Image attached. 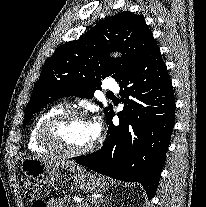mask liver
Segmentation results:
<instances>
[{"label":"liver","instance_id":"1","mask_svg":"<svg viewBox=\"0 0 206 207\" xmlns=\"http://www.w3.org/2000/svg\"><path fill=\"white\" fill-rule=\"evenodd\" d=\"M36 158H38L40 160H47V161L54 162L55 164L59 165L61 168L68 169L72 172H75L76 170H81L82 169L76 163H74L72 161L61 160L57 156L44 155V156H39V157H36Z\"/></svg>","mask_w":206,"mask_h":207}]
</instances>
